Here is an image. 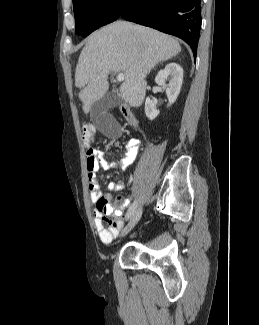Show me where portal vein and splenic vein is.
I'll list each match as a JSON object with an SVG mask.
<instances>
[{
  "mask_svg": "<svg viewBox=\"0 0 259 325\" xmlns=\"http://www.w3.org/2000/svg\"><path fill=\"white\" fill-rule=\"evenodd\" d=\"M116 79H117V81H124L125 76H124L123 73H119V74L116 76Z\"/></svg>",
  "mask_w": 259,
  "mask_h": 325,
  "instance_id": "18ae733b",
  "label": "portal vein and splenic vein"
}]
</instances>
